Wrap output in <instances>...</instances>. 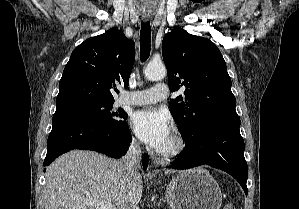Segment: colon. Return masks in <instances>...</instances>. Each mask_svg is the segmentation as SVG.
<instances>
[{
  "label": "colon",
  "mask_w": 299,
  "mask_h": 209,
  "mask_svg": "<svg viewBox=\"0 0 299 209\" xmlns=\"http://www.w3.org/2000/svg\"><path fill=\"white\" fill-rule=\"evenodd\" d=\"M227 209H232L231 207H228Z\"/></svg>",
  "instance_id": "colon-1"
}]
</instances>
